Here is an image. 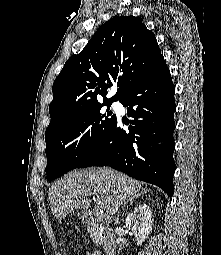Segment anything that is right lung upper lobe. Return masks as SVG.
<instances>
[{
    "label": "right lung upper lobe",
    "mask_w": 221,
    "mask_h": 255,
    "mask_svg": "<svg viewBox=\"0 0 221 255\" xmlns=\"http://www.w3.org/2000/svg\"><path fill=\"white\" fill-rule=\"evenodd\" d=\"M162 57L155 35L134 16H115L103 24L77 55L70 57L53 83L50 131L88 106L117 101ZM118 81L117 93L106 98Z\"/></svg>",
    "instance_id": "obj_1"
}]
</instances>
